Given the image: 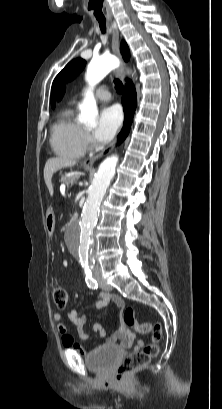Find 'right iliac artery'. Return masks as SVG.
Wrapping results in <instances>:
<instances>
[{
  "instance_id": "1",
  "label": "right iliac artery",
  "mask_w": 222,
  "mask_h": 409,
  "mask_svg": "<svg viewBox=\"0 0 222 409\" xmlns=\"http://www.w3.org/2000/svg\"><path fill=\"white\" fill-rule=\"evenodd\" d=\"M86 284L89 288L91 289H97L98 288V283L95 279H93L92 274L91 273H87L86 274Z\"/></svg>"
}]
</instances>
